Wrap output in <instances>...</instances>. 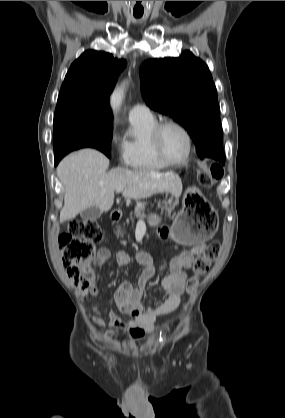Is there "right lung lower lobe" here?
<instances>
[{"label":"right lung lower lobe","mask_w":285,"mask_h":418,"mask_svg":"<svg viewBox=\"0 0 285 418\" xmlns=\"http://www.w3.org/2000/svg\"><path fill=\"white\" fill-rule=\"evenodd\" d=\"M61 159H62V158H59V159H56V158H55V159H54V164H55V165H57V164H58V162H59Z\"/></svg>","instance_id":"98d812e1"}]
</instances>
